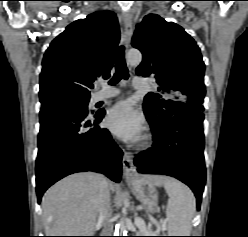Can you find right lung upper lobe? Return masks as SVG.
I'll return each mask as SVG.
<instances>
[{
    "label": "right lung upper lobe",
    "instance_id": "right-lung-upper-lobe-1",
    "mask_svg": "<svg viewBox=\"0 0 248 237\" xmlns=\"http://www.w3.org/2000/svg\"><path fill=\"white\" fill-rule=\"evenodd\" d=\"M120 31L115 13L94 12L67 26L46 50L40 74L42 105L59 99L88 100L97 77L107 79Z\"/></svg>",
    "mask_w": 248,
    "mask_h": 237
}]
</instances>
